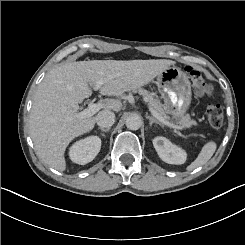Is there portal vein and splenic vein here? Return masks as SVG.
<instances>
[{
    "instance_id": "1",
    "label": "portal vein and splenic vein",
    "mask_w": 245,
    "mask_h": 245,
    "mask_svg": "<svg viewBox=\"0 0 245 245\" xmlns=\"http://www.w3.org/2000/svg\"><path fill=\"white\" fill-rule=\"evenodd\" d=\"M104 80L101 85L105 82L108 81ZM109 102H98V103H92L90 104L86 109H84L82 112H80L77 115V119H84L86 117H91L94 114H96L97 112H99L101 109L108 107ZM148 110L149 112L156 117L157 119L161 120V116L159 115V113L152 107V106H148Z\"/></svg>"
}]
</instances>
